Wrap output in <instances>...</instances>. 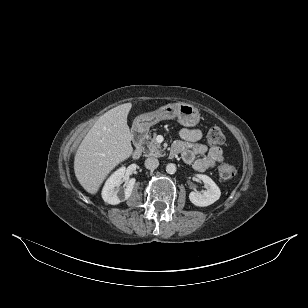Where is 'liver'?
I'll list each match as a JSON object with an SVG mask.
<instances>
[{
	"label": "liver",
	"instance_id": "1",
	"mask_svg": "<svg viewBox=\"0 0 308 308\" xmlns=\"http://www.w3.org/2000/svg\"><path fill=\"white\" fill-rule=\"evenodd\" d=\"M131 107V103H125L103 114L77 149L75 176L90 194H96L108 174L133 153L132 133L127 125Z\"/></svg>",
	"mask_w": 308,
	"mask_h": 308
}]
</instances>
